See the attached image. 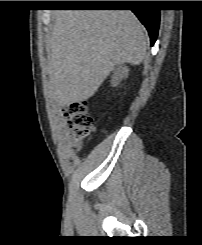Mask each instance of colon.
<instances>
[{"instance_id": "5ec220e1", "label": "colon", "mask_w": 202, "mask_h": 245, "mask_svg": "<svg viewBox=\"0 0 202 245\" xmlns=\"http://www.w3.org/2000/svg\"><path fill=\"white\" fill-rule=\"evenodd\" d=\"M67 119L70 135L76 146L81 147L88 137L92 127L93 118L85 102H74L64 111Z\"/></svg>"}]
</instances>
